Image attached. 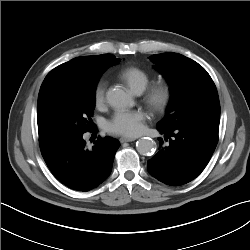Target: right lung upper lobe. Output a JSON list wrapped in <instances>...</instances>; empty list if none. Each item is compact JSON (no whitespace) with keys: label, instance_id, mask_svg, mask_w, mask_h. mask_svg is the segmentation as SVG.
<instances>
[{"label":"right lung upper lobe","instance_id":"obj_1","mask_svg":"<svg viewBox=\"0 0 250 250\" xmlns=\"http://www.w3.org/2000/svg\"><path fill=\"white\" fill-rule=\"evenodd\" d=\"M119 59L112 54L81 56L51 70L44 79L38 96L37 118L42 111L67 87L84 84L101 76L107 67L117 64Z\"/></svg>","mask_w":250,"mask_h":250}]
</instances>
